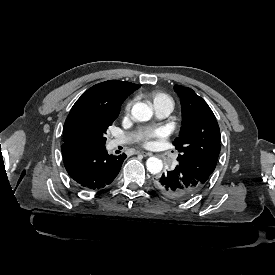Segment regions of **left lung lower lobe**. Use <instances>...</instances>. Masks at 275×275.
Listing matches in <instances>:
<instances>
[{
  "label": "left lung lower lobe",
  "instance_id": "left-lung-lower-lobe-1",
  "mask_svg": "<svg viewBox=\"0 0 275 275\" xmlns=\"http://www.w3.org/2000/svg\"><path fill=\"white\" fill-rule=\"evenodd\" d=\"M154 186L171 200H187L196 195L204 184L177 165L175 169L156 178Z\"/></svg>",
  "mask_w": 275,
  "mask_h": 275
}]
</instances>
